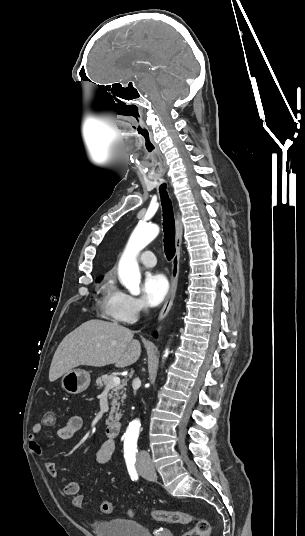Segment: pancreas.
<instances>
[{"label":"pancreas","mask_w":305,"mask_h":536,"mask_svg":"<svg viewBox=\"0 0 305 536\" xmlns=\"http://www.w3.org/2000/svg\"><path fill=\"white\" fill-rule=\"evenodd\" d=\"M112 378H115V376H107V374H105V376L97 378L96 386H99V388H104V386H107L108 382H112ZM124 386H126V382H124V384H115V386H112V392L109 394V398L112 400V408L108 420H115V424H119V420L122 416V414L119 412L121 402L123 404L124 400L127 398Z\"/></svg>","instance_id":"obj_1"}]
</instances>
